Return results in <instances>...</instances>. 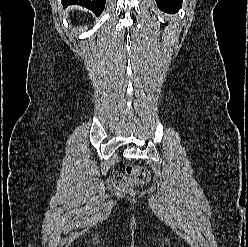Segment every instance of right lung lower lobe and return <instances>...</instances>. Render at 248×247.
<instances>
[{
	"instance_id": "1",
	"label": "right lung lower lobe",
	"mask_w": 248,
	"mask_h": 247,
	"mask_svg": "<svg viewBox=\"0 0 248 247\" xmlns=\"http://www.w3.org/2000/svg\"><path fill=\"white\" fill-rule=\"evenodd\" d=\"M106 0H62L65 5L78 4L92 10L95 14H100L105 7Z\"/></svg>"
}]
</instances>
